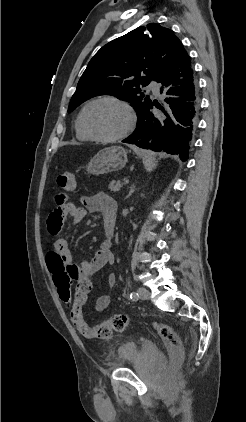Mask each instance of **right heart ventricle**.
I'll return each instance as SVG.
<instances>
[{
	"mask_svg": "<svg viewBox=\"0 0 246 422\" xmlns=\"http://www.w3.org/2000/svg\"><path fill=\"white\" fill-rule=\"evenodd\" d=\"M75 133L76 137L81 141H89L91 140L83 131L81 122H80V113L77 116V119L75 121Z\"/></svg>",
	"mask_w": 246,
	"mask_h": 422,
	"instance_id": "right-heart-ventricle-1",
	"label": "right heart ventricle"
}]
</instances>
